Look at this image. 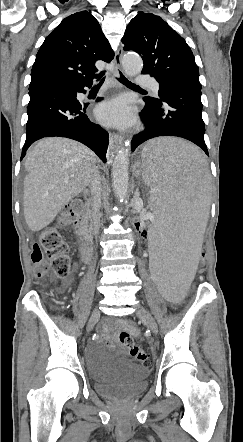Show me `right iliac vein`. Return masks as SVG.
<instances>
[{
	"label": "right iliac vein",
	"instance_id": "obj_1",
	"mask_svg": "<svg viewBox=\"0 0 243 442\" xmlns=\"http://www.w3.org/2000/svg\"><path fill=\"white\" fill-rule=\"evenodd\" d=\"M99 317H100V310L99 308H95L88 324V331L92 329V327L94 326L95 322L99 319Z\"/></svg>",
	"mask_w": 243,
	"mask_h": 442
}]
</instances>
